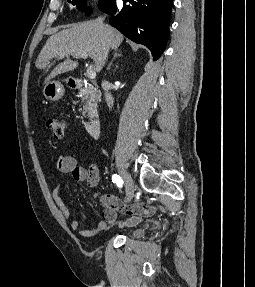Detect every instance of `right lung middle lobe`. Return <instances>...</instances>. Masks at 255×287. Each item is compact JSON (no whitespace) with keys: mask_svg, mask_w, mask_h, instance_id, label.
Returning a JSON list of instances; mask_svg holds the SVG:
<instances>
[{"mask_svg":"<svg viewBox=\"0 0 255 287\" xmlns=\"http://www.w3.org/2000/svg\"><path fill=\"white\" fill-rule=\"evenodd\" d=\"M68 1L70 2V0ZM85 1L86 0H73L72 4L77 5V7L81 9V11H84L86 14H89V9L85 8ZM115 5L116 0H99V8L106 13H108L113 7H115Z\"/></svg>","mask_w":255,"mask_h":287,"instance_id":"right-lung-middle-lobe-1","label":"right lung middle lobe"}]
</instances>
